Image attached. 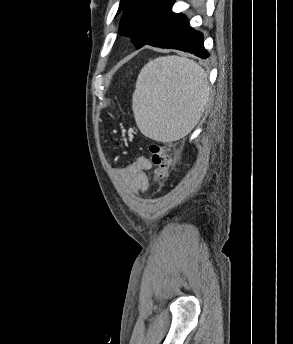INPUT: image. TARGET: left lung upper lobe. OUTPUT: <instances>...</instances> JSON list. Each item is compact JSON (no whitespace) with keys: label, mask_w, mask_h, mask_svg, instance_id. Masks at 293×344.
Instances as JSON below:
<instances>
[{"label":"left lung upper lobe","mask_w":293,"mask_h":344,"mask_svg":"<svg viewBox=\"0 0 293 344\" xmlns=\"http://www.w3.org/2000/svg\"><path fill=\"white\" fill-rule=\"evenodd\" d=\"M174 0H121L119 33L130 36L136 48L167 41L182 25L185 15L173 13Z\"/></svg>","instance_id":"left-lung-upper-lobe-1"}]
</instances>
